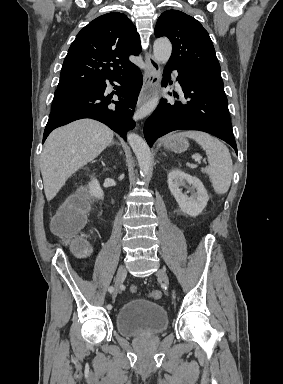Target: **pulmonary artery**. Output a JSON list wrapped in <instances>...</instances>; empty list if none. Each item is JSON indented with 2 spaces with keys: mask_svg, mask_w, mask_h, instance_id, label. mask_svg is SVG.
I'll return each instance as SVG.
<instances>
[{
  "mask_svg": "<svg viewBox=\"0 0 283 384\" xmlns=\"http://www.w3.org/2000/svg\"><path fill=\"white\" fill-rule=\"evenodd\" d=\"M174 76H177V75H174ZM176 85H177V87H178V88H180V85H179V83H176ZM108 86H109V84H108Z\"/></svg>",
  "mask_w": 283,
  "mask_h": 384,
  "instance_id": "obj_1",
  "label": "pulmonary artery"
}]
</instances>
